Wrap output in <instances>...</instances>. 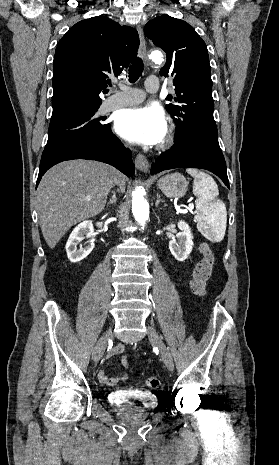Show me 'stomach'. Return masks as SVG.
Segmentation results:
<instances>
[{
    "mask_svg": "<svg viewBox=\"0 0 279 465\" xmlns=\"http://www.w3.org/2000/svg\"><path fill=\"white\" fill-rule=\"evenodd\" d=\"M157 187L170 198L183 197L188 188L186 178L180 173H172L160 178Z\"/></svg>",
    "mask_w": 279,
    "mask_h": 465,
    "instance_id": "stomach-1",
    "label": "stomach"
}]
</instances>
